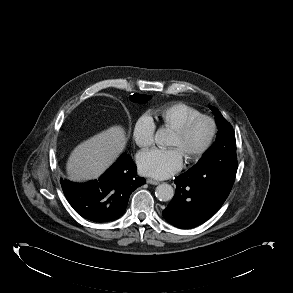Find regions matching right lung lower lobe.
I'll use <instances>...</instances> for the list:
<instances>
[{"label": "right lung lower lobe", "instance_id": "right-lung-lower-lobe-1", "mask_svg": "<svg viewBox=\"0 0 293 293\" xmlns=\"http://www.w3.org/2000/svg\"><path fill=\"white\" fill-rule=\"evenodd\" d=\"M145 183L144 178L136 176V165L126 153L98 180L78 184L61 179L64 195L73 209L94 222H106L121 216L131 192Z\"/></svg>", "mask_w": 293, "mask_h": 293}]
</instances>
